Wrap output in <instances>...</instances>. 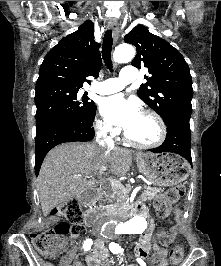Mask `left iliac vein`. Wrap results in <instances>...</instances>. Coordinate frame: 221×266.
<instances>
[{
    "label": "left iliac vein",
    "mask_w": 221,
    "mask_h": 266,
    "mask_svg": "<svg viewBox=\"0 0 221 266\" xmlns=\"http://www.w3.org/2000/svg\"><path fill=\"white\" fill-rule=\"evenodd\" d=\"M103 250H106L103 246L101 247Z\"/></svg>",
    "instance_id": "4c4485c4"
}]
</instances>
